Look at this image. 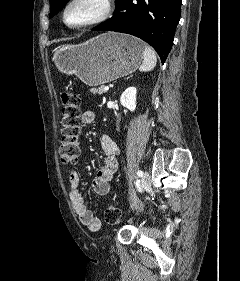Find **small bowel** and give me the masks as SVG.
<instances>
[{"label": "small bowel", "instance_id": "c3829d8e", "mask_svg": "<svg viewBox=\"0 0 240 281\" xmlns=\"http://www.w3.org/2000/svg\"><path fill=\"white\" fill-rule=\"evenodd\" d=\"M94 120L95 113L91 110L84 111L81 115V122L84 125L91 124ZM101 148L104 154L103 165L99 167L92 180V189L97 195L104 196L110 191V181L118 167L117 155L119 154V148L108 135L101 137ZM69 182L71 204L80 222L91 231H97L101 225L100 220L94 217L92 211L85 204L83 195L79 190L80 175L76 170L70 172Z\"/></svg>", "mask_w": 240, "mask_h": 281}]
</instances>
